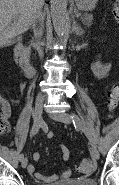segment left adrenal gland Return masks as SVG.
I'll return each mask as SVG.
<instances>
[{
    "mask_svg": "<svg viewBox=\"0 0 119 185\" xmlns=\"http://www.w3.org/2000/svg\"><path fill=\"white\" fill-rule=\"evenodd\" d=\"M73 31L76 33L77 36H81L84 32L81 29V27L76 23L74 17H73Z\"/></svg>",
    "mask_w": 119,
    "mask_h": 185,
    "instance_id": "obj_1",
    "label": "left adrenal gland"
}]
</instances>
